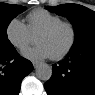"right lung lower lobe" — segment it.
Returning a JSON list of instances; mask_svg holds the SVG:
<instances>
[{
    "label": "right lung lower lobe",
    "mask_w": 95,
    "mask_h": 95,
    "mask_svg": "<svg viewBox=\"0 0 95 95\" xmlns=\"http://www.w3.org/2000/svg\"><path fill=\"white\" fill-rule=\"evenodd\" d=\"M32 70V63L13 46L0 50V95H18L22 79Z\"/></svg>",
    "instance_id": "obj_1"
}]
</instances>
